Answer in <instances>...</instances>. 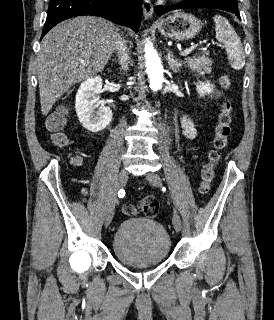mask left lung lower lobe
Returning <instances> with one entry per match:
<instances>
[{"label":"left lung lower lobe","instance_id":"left-lung-lower-lobe-1","mask_svg":"<svg viewBox=\"0 0 274 320\" xmlns=\"http://www.w3.org/2000/svg\"><path fill=\"white\" fill-rule=\"evenodd\" d=\"M190 8H214L226 10L228 12L234 13L240 18L238 5L229 3L225 0H186L185 2L179 3L172 6L158 5L155 8V13L161 16L171 10L175 9H190Z\"/></svg>","mask_w":274,"mask_h":320}]
</instances>
